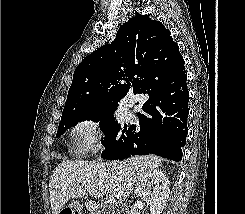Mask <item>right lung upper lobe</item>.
<instances>
[{"instance_id":"1","label":"right lung upper lobe","mask_w":245,"mask_h":214,"mask_svg":"<svg viewBox=\"0 0 245 214\" xmlns=\"http://www.w3.org/2000/svg\"><path fill=\"white\" fill-rule=\"evenodd\" d=\"M160 74L172 82L185 79L184 60L170 31L148 15L138 14L120 26L111 44L77 66L63 114L115 111L119 100L145 94L150 80Z\"/></svg>"}]
</instances>
